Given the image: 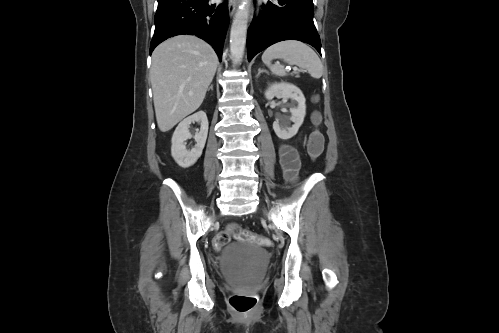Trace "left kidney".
<instances>
[{"label": "left kidney", "mask_w": 499, "mask_h": 333, "mask_svg": "<svg viewBox=\"0 0 499 333\" xmlns=\"http://www.w3.org/2000/svg\"><path fill=\"white\" fill-rule=\"evenodd\" d=\"M264 95L268 100L274 97L282 98L284 102L288 99L292 100L290 107L291 117L276 118L273 123V129L276 135L283 140L295 136L306 115V100L302 91L293 84L281 82L271 84ZM290 122H293V124L290 125Z\"/></svg>", "instance_id": "obj_1"}]
</instances>
